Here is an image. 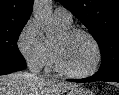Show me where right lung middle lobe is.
<instances>
[{"mask_svg": "<svg viewBox=\"0 0 119 95\" xmlns=\"http://www.w3.org/2000/svg\"><path fill=\"white\" fill-rule=\"evenodd\" d=\"M26 23L0 26V63L26 64L17 47L19 35Z\"/></svg>", "mask_w": 119, "mask_h": 95, "instance_id": "dd1d6c3e", "label": "right lung middle lobe"}]
</instances>
